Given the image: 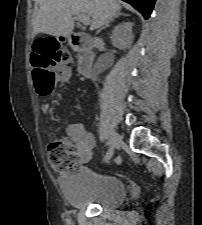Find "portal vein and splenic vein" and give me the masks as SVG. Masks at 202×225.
Masks as SVG:
<instances>
[{"instance_id":"1","label":"portal vein and splenic vein","mask_w":202,"mask_h":225,"mask_svg":"<svg viewBox=\"0 0 202 225\" xmlns=\"http://www.w3.org/2000/svg\"><path fill=\"white\" fill-rule=\"evenodd\" d=\"M78 20H80L84 25L90 24V16L86 14H78L77 15Z\"/></svg>"}]
</instances>
